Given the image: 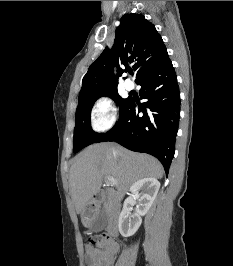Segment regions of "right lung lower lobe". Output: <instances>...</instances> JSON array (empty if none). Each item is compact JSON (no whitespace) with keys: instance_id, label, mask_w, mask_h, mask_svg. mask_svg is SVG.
<instances>
[{"instance_id":"98d812e1","label":"right lung lower lobe","mask_w":233,"mask_h":266,"mask_svg":"<svg viewBox=\"0 0 233 266\" xmlns=\"http://www.w3.org/2000/svg\"><path fill=\"white\" fill-rule=\"evenodd\" d=\"M136 83L142 87L140 97L148 101L137 106L130 99L117 124L95 142L116 141L132 151L153 155L167 175L175 153L180 113L177 76L169 57ZM139 112L142 117L137 115Z\"/></svg>"}]
</instances>
